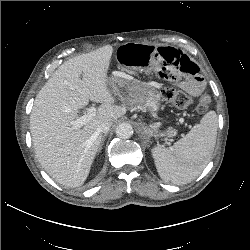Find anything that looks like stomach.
<instances>
[{
  "instance_id": "0dacf381",
  "label": "stomach",
  "mask_w": 250,
  "mask_h": 250,
  "mask_svg": "<svg viewBox=\"0 0 250 250\" xmlns=\"http://www.w3.org/2000/svg\"><path fill=\"white\" fill-rule=\"evenodd\" d=\"M135 44H141V43H135ZM122 45H120L118 49ZM150 46L153 47V45ZM108 86H110L112 90L116 94L120 95L122 98L127 99L128 101L139 106L142 109L149 110L153 116H156L157 110L159 109L160 105V94L156 90V88L153 87V85L146 82H133L129 84H120L117 83L115 80L110 79L108 80ZM166 135L172 136L173 131L168 130L166 132Z\"/></svg>"
}]
</instances>
